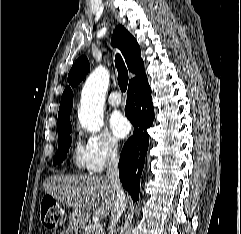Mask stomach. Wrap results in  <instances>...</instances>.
Segmentation results:
<instances>
[{"instance_id":"1","label":"stomach","mask_w":241,"mask_h":234,"mask_svg":"<svg viewBox=\"0 0 241 234\" xmlns=\"http://www.w3.org/2000/svg\"><path fill=\"white\" fill-rule=\"evenodd\" d=\"M86 221L85 218H83L82 216H79L76 213H73V215L71 216V223L74 226H77L79 224H83Z\"/></svg>"}]
</instances>
